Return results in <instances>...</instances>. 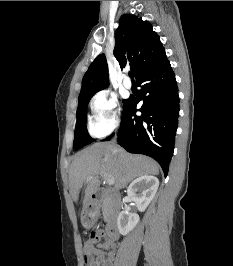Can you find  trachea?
<instances>
[{"label": "trachea", "mask_w": 233, "mask_h": 266, "mask_svg": "<svg viewBox=\"0 0 233 266\" xmlns=\"http://www.w3.org/2000/svg\"><path fill=\"white\" fill-rule=\"evenodd\" d=\"M129 76H130V78H134V72L133 71H130L129 72Z\"/></svg>", "instance_id": "3493384b"}]
</instances>
